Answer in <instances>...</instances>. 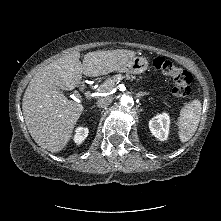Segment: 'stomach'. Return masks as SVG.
<instances>
[{
    "label": "stomach",
    "instance_id": "stomach-1",
    "mask_svg": "<svg viewBox=\"0 0 221 221\" xmlns=\"http://www.w3.org/2000/svg\"><path fill=\"white\" fill-rule=\"evenodd\" d=\"M148 68V61L145 57L134 56L129 59L124 66H122L118 71L121 73L128 74H140L146 71Z\"/></svg>",
    "mask_w": 221,
    "mask_h": 221
}]
</instances>
